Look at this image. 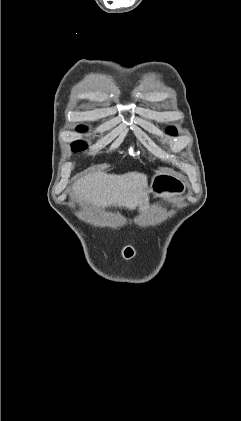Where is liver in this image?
<instances>
[{"instance_id": "6515ba94", "label": "liver", "mask_w": 241, "mask_h": 421, "mask_svg": "<svg viewBox=\"0 0 241 421\" xmlns=\"http://www.w3.org/2000/svg\"><path fill=\"white\" fill-rule=\"evenodd\" d=\"M147 190V176L139 172L123 175L94 172L73 185V193L83 205L119 206L134 210Z\"/></svg>"}]
</instances>
